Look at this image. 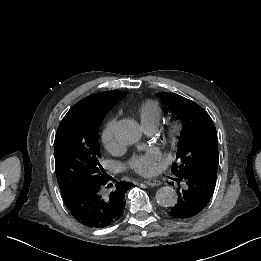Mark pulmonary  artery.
I'll list each match as a JSON object with an SVG mask.
<instances>
[{
  "label": "pulmonary artery",
  "instance_id": "obj_1",
  "mask_svg": "<svg viewBox=\"0 0 261 261\" xmlns=\"http://www.w3.org/2000/svg\"><path fill=\"white\" fill-rule=\"evenodd\" d=\"M147 130H153V127H145Z\"/></svg>",
  "mask_w": 261,
  "mask_h": 261
}]
</instances>
